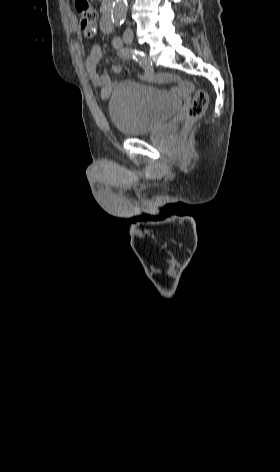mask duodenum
I'll return each mask as SVG.
<instances>
[{"mask_svg":"<svg viewBox=\"0 0 280 472\" xmlns=\"http://www.w3.org/2000/svg\"><path fill=\"white\" fill-rule=\"evenodd\" d=\"M101 29L105 33H109L113 30V22L111 18V7L108 3L103 11V16L101 19Z\"/></svg>","mask_w":280,"mask_h":472,"instance_id":"duodenum-1","label":"duodenum"}]
</instances>
